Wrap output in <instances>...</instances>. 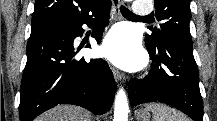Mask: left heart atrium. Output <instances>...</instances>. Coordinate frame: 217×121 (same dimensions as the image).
I'll use <instances>...</instances> for the list:
<instances>
[{
	"label": "left heart atrium",
	"instance_id": "1",
	"mask_svg": "<svg viewBox=\"0 0 217 121\" xmlns=\"http://www.w3.org/2000/svg\"><path fill=\"white\" fill-rule=\"evenodd\" d=\"M102 53L113 63L137 69L144 63V55L136 35L127 27L114 28L102 45Z\"/></svg>",
	"mask_w": 217,
	"mask_h": 121
}]
</instances>
